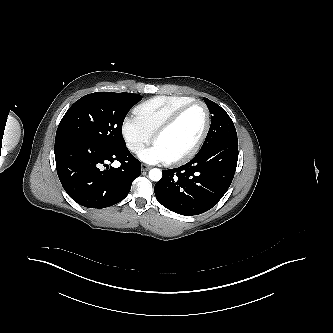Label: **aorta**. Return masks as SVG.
Wrapping results in <instances>:
<instances>
[{"label":"aorta","mask_w":333,"mask_h":333,"mask_svg":"<svg viewBox=\"0 0 333 333\" xmlns=\"http://www.w3.org/2000/svg\"><path fill=\"white\" fill-rule=\"evenodd\" d=\"M149 178L152 181H159L162 178V172L160 169L153 168L149 171Z\"/></svg>","instance_id":"762f6f07"}]
</instances>
